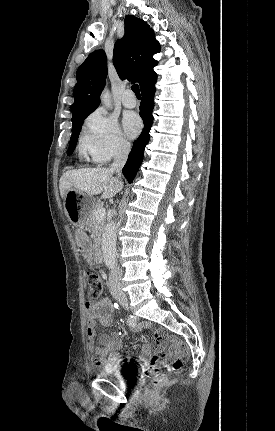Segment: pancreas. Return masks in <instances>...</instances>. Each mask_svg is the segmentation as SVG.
I'll list each match as a JSON object with an SVG mask.
<instances>
[{
    "label": "pancreas",
    "instance_id": "cf45deb5",
    "mask_svg": "<svg viewBox=\"0 0 275 431\" xmlns=\"http://www.w3.org/2000/svg\"><path fill=\"white\" fill-rule=\"evenodd\" d=\"M101 207H102L101 202H98L96 205H94L89 212L87 222H86V226L92 232V238H93L95 246L99 245V243L101 241V234H102L103 227L105 224V221L103 219L98 220L95 217L96 210L98 208H101Z\"/></svg>",
    "mask_w": 275,
    "mask_h": 431
}]
</instances>
